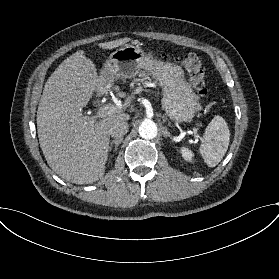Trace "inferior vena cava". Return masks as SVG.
I'll list each match as a JSON object with an SVG mask.
<instances>
[{"mask_svg": "<svg viewBox=\"0 0 279 279\" xmlns=\"http://www.w3.org/2000/svg\"><path fill=\"white\" fill-rule=\"evenodd\" d=\"M128 130L129 125L127 121H121L111 125V127L108 130V133L111 137L115 139H120L127 134Z\"/></svg>", "mask_w": 279, "mask_h": 279, "instance_id": "obj_1", "label": "inferior vena cava"}]
</instances>
